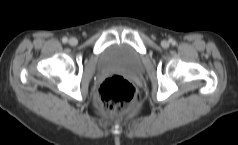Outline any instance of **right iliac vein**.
<instances>
[{"mask_svg": "<svg viewBox=\"0 0 238 145\" xmlns=\"http://www.w3.org/2000/svg\"><path fill=\"white\" fill-rule=\"evenodd\" d=\"M77 43H78V41L76 38H74V37L70 38V40H69L70 45L75 46Z\"/></svg>", "mask_w": 238, "mask_h": 145, "instance_id": "obj_1", "label": "right iliac vein"}]
</instances>
